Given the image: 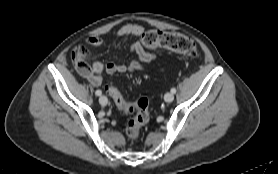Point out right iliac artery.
Wrapping results in <instances>:
<instances>
[{"mask_svg":"<svg viewBox=\"0 0 278 174\" xmlns=\"http://www.w3.org/2000/svg\"><path fill=\"white\" fill-rule=\"evenodd\" d=\"M95 94H96L97 96H101L102 91H101V90H96Z\"/></svg>","mask_w":278,"mask_h":174,"instance_id":"right-iliac-artery-1","label":"right iliac artery"}]
</instances>
